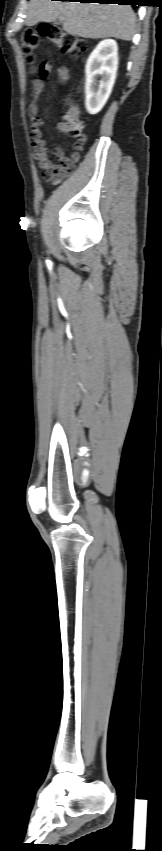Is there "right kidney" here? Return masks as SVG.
I'll list each match as a JSON object with an SVG mask.
<instances>
[{
    "mask_svg": "<svg viewBox=\"0 0 162 851\" xmlns=\"http://www.w3.org/2000/svg\"><path fill=\"white\" fill-rule=\"evenodd\" d=\"M117 68V43L113 39H105L90 54L85 67V106L89 114H97L105 105L116 79ZM98 76H101L99 83Z\"/></svg>",
    "mask_w": 162,
    "mask_h": 851,
    "instance_id": "ca27d5eb",
    "label": "right kidney"
}]
</instances>
